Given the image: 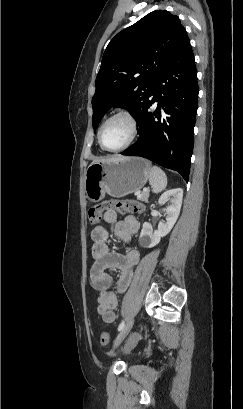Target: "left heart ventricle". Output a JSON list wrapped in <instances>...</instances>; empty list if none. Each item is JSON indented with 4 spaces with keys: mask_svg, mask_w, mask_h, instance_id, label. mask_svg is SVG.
Returning <instances> with one entry per match:
<instances>
[{
    "mask_svg": "<svg viewBox=\"0 0 243 409\" xmlns=\"http://www.w3.org/2000/svg\"><path fill=\"white\" fill-rule=\"evenodd\" d=\"M131 134L127 120L117 118L105 125L102 131V141L110 149H115L127 142Z\"/></svg>",
    "mask_w": 243,
    "mask_h": 409,
    "instance_id": "left-heart-ventricle-1",
    "label": "left heart ventricle"
}]
</instances>
